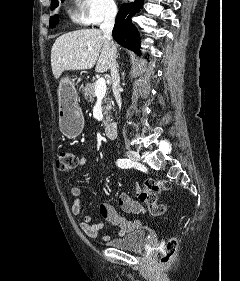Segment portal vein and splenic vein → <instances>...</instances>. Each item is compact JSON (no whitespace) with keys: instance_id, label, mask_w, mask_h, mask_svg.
I'll use <instances>...</instances> for the list:
<instances>
[{"instance_id":"1","label":"portal vein and splenic vein","mask_w":240,"mask_h":281,"mask_svg":"<svg viewBox=\"0 0 240 281\" xmlns=\"http://www.w3.org/2000/svg\"><path fill=\"white\" fill-rule=\"evenodd\" d=\"M106 94V82L104 78H99L95 86V95L97 98H103Z\"/></svg>"}]
</instances>
